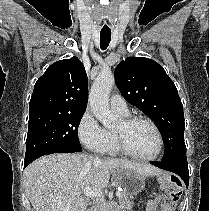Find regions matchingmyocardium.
<instances>
[{
  "instance_id": "1",
  "label": "myocardium",
  "mask_w": 209,
  "mask_h": 211,
  "mask_svg": "<svg viewBox=\"0 0 209 211\" xmlns=\"http://www.w3.org/2000/svg\"><path fill=\"white\" fill-rule=\"evenodd\" d=\"M137 122H145L153 128V130L157 136V142H158L156 152L153 155L148 156V157H140V156L135 155L128 149L126 141H125L124 133L122 131L115 130L114 134H115L118 149L123 155H125L133 160H136L139 162H152V161L156 160L161 155V153L163 151V146H164L163 135H162L159 127L157 126V124L149 117L142 116V115H136V116L127 117L123 120V124L126 128L132 126L133 124H135Z\"/></svg>"
}]
</instances>
